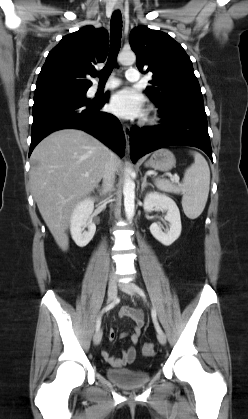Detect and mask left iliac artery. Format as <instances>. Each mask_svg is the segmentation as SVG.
Listing matches in <instances>:
<instances>
[{
    "label": "left iliac artery",
    "mask_w": 248,
    "mask_h": 419,
    "mask_svg": "<svg viewBox=\"0 0 248 419\" xmlns=\"http://www.w3.org/2000/svg\"><path fill=\"white\" fill-rule=\"evenodd\" d=\"M137 290H138V292H139L140 295H144L143 290H141L139 288H137ZM151 315H152V320H153L154 326L156 328V331L158 333L162 332V329H161V327H160V325H159V323L157 321L156 310L154 308L152 309Z\"/></svg>",
    "instance_id": "1"
}]
</instances>
